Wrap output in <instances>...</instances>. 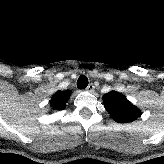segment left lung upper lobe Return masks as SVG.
Listing matches in <instances>:
<instances>
[{
  "label": "left lung upper lobe",
  "instance_id": "left-lung-upper-lobe-1",
  "mask_svg": "<svg viewBox=\"0 0 164 164\" xmlns=\"http://www.w3.org/2000/svg\"><path fill=\"white\" fill-rule=\"evenodd\" d=\"M103 103L113 120L119 123L131 122L142 114L124 95L116 91L105 94Z\"/></svg>",
  "mask_w": 164,
  "mask_h": 164
}]
</instances>
